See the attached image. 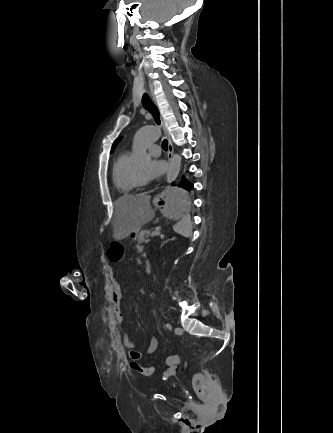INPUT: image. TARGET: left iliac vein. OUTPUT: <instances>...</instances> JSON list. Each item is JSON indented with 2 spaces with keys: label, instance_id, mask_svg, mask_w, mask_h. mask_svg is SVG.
Masks as SVG:
<instances>
[{
  "label": "left iliac vein",
  "instance_id": "left-iliac-vein-1",
  "mask_svg": "<svg viewBox=\"0 0 333 433\" xmlns=\"http://www.w3.org/2000/svg\"><path fill=\"white\" fill-rule=\"evenodd\" d=\"M174 332L177 335H182L183 332H184V330L182 328H180V327H177V328H175Z\"/></svg>",
  "mask_w": 333,
  "mask_h": 433
}]
</instances>
